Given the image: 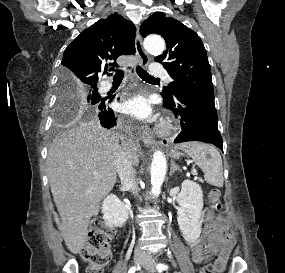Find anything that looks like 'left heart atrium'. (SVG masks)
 I'll return each mask as SVG.
<instances>
[{"label": "left heart atrium", "instance_id": "obj_1", "mask_svg": "<svg viewBox=\"0 0 285 273\" xmlns=\"http://www.w3.org/2000/svg\"><path fill=\"white\" fill-rule=\"evenodd\" d=\"M125 112L132 114L138 118H145L150 114L147 102L142 98H134L124 104Z\"/></svg>", "mask_w": 285, "mask_h": 273}]
</instances>
